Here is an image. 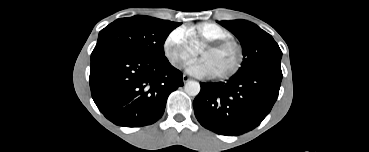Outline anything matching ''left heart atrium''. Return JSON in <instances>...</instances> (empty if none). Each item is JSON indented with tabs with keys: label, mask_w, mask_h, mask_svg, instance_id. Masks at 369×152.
I'll return each instance as SVG.
<instances>
[{
	"label": "left heart atrium",
	"mask_w": 369,
	"mask_h": 152,
	"mask_svg": "<svg viewBox=\"0 0 369 152\" xmlns=\"http://www.w3.org/2000/svg\"><path fill=\"white\" fill-rule=\"evenodd\" d=\"M187 72L197 77H212L207 62L202 59L190 62L187 66Z\"/></svg>",
	"instance_id": "39dd6f15"
}]
</instances>
